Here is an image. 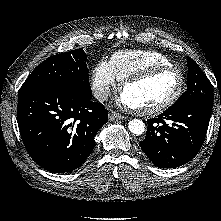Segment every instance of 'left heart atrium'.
Returning <instances> with one entry per match:
<instances>
[{"mask_svg":"<svg viewBox=\"0 0 221 221\" xmlns=\"http://www.w3.org/2000/svg\"><path fill=\"white\" fill-rule=\"evenodd\" d=\"M119 101H120L122 104H124V105H126V106H128V107H132V106L128 103V101L125 99V97H124L123 95H121V98L119 99Z\"/></svg>","mask_w":221,"mask_h":221,"instance_id":"1","label":"left heart atrium"}]
</instances>
